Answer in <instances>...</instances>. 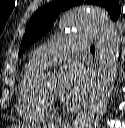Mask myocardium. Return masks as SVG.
I'll return each instance as SVG.
<instances>
[{"mask_svg":"<svg viewBox=\"0 0 125 128\" xmlns=\"http://www.w3.org/2000/svg\"><path fill=\"white\" fill-rule=\"evenodd\" d=\"M41 95L44 101L46 102V104L50 106L52 109H55L58 107L59 103L56 97L48 95L46 92L43 91V89H41Z\"/></svg>","mask_w":125,"mask_h":128,"instance_id":"f54148a6","label":"myocardium"}]
</instances>
